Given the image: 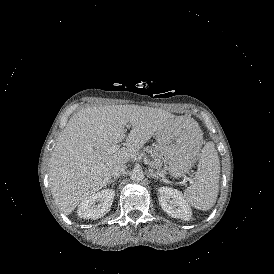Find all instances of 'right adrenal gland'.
I'll list each match as a JSON object with an SVG mask.
<instances>
[{"label":"right adrenal gland","instance_id":"2a0ac1e0","mask_svg":"<svg viewBox=\"0 0 274 274\" xmlns=\"http://www.w3.org/2000/svg\"><path fill=\"white\" fill-rule=\"evenodd\" d=\"M116 181V178L110 180V184L114 183Z\"/></svg>","mask_w":274,"mask_h":274}]
</instances>
